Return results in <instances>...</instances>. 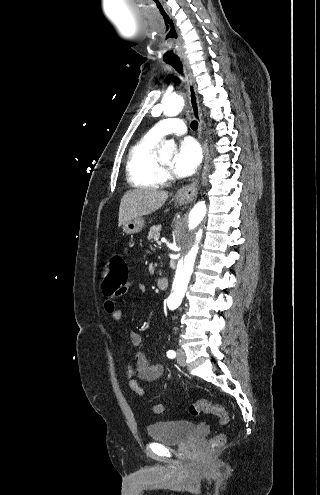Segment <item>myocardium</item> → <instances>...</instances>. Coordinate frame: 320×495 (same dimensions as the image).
Instances as JSON below:
<instances>
[{
  "label": "myocardium",
  "mask_w": 320,
  "mask_h": 495,
  "mask_svg": "<svg viewBox=\"0 0 320 495\" xmlns=\"http://www.w3.org/2000/svg\"><path fill=\"white\" fill-rule=\"evenodd\" d=\"M157 160H158V164H159V166H160V168H161V169H164V170H165V169H167V168H168V166H167L166 164H164V163L161 161V159L157 158Z\"/></svg>",
  "instance_id": "obj_1"
}]
</instances>
